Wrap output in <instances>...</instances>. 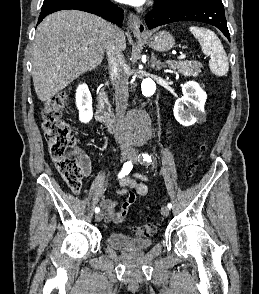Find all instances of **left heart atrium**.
Listing matches in <instances>:
<instances>
[{"label":"left heart atrium","mask_w":259,"mask_h":294,"mask_svg":"<svg viewBox=\"0 0 259 294\" xmlns=\"http://www.w3.org/2000/svg\"><path fill=\"white\" fill-rule=\"evenodd\" d=\"M118 2L133 5V6H140L142 5L146 0H116Z\"/></svg>","instance_id":"39dd6f15"}]
</instances>
